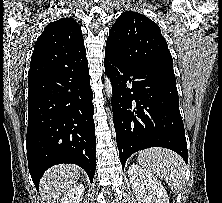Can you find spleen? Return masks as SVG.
<instances>
[{"label":"spleen","mask_w":222,"mask_h":203,"mask_svg":"<svg viewBox=\"0 0 222 203\" xmlns=\"http://www.w3.org/2000/svg\"><path fill=\"white\" fill-rule=\"evenodd\" d=\"M138 163L150 173L164 179L174 192H179L186 181V165L177 153L165 148H149L138 153Z\"/></svg>","instance_id":"3e777b00"}]
</instances>
